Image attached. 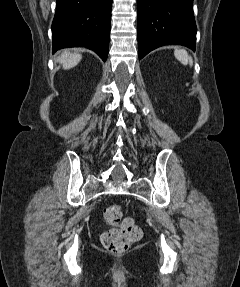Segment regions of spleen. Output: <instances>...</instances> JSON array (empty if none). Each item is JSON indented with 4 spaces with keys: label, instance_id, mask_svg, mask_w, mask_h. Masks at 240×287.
<instances>
[{
    "label": "spleen",
    "instance_id": "3e777b00",
    "mask_svg": "<svg viewBox=\"0 0 240 287\" xmlns=\"http://www.w3.org/2000/svg\"><path fill=\"white\" fill-rule=\"evenodd\" d=\"M174 55L183 65H193L192 57L184 49H175Z\"/></svg>",
    "mask_w": 240,
    "mask_h": 287
}]
</instances>
